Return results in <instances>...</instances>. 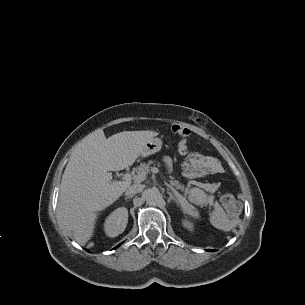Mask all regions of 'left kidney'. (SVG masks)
Masks as SVG:
<instances>
[{
	"mask_svg": "<svg viewBox=\"0 0 305 305\" xmlns=\"http://www.w3.org/2000/svg\"><path fill=\"white\" fill-rule=\"evenodd\" d=\"M183 225H184V227H187V228H189V229L192 228L191 224L188 223V222H186V221L183 222Z\"/></svg>",
	"mask_w": 305,
	"mask_h": 305,
	"instance_id": "5707ae66",
	"label": "left kidney"
}]
</instances>
